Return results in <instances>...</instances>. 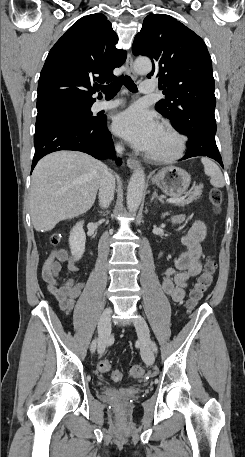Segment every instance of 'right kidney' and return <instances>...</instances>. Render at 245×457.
Returning <instances> with one entry per match:
<instances>
[{
	"label": "right kidney",
	"instance_id": "ca27d5eb",
	"mask_svg": "<svg viewBox=\"0 0 245 457\" xmlns=\"http://www.w3.org/2000/svg\"><path fill=\"white\" fill-rule=\"evenodd\" d=\"M83 224L84 220L76 222L69 237V247L71 249V255L75 257V261L82 259L85 253L86 235L84 233Z\"/></svg>",
	"mask_w": 245,
	"mask_h": 457
}]
</instances>
